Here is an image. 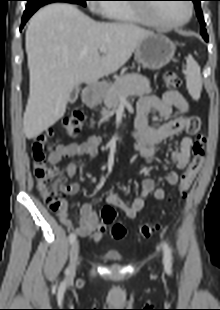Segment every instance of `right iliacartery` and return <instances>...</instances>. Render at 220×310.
I'll use <instances>...</instances> for the list:
<instances>
[{
  "instance_id": "1",
  "label": "right iliac artery",
  "mask_w": 220,
  "mask_h": 310,
  "mask_svg": "<svg viewBox=\"0 0 220 310\" xmlns=\"http://www.w3.org/2000/svg\"><path fill=\"white\" fill-rule=\"evenodd\" d=\"M75 239H76V235L74 233H71L69 235V242H70V244H72L75 241Z\"/></svg>"
}]
</instances>
